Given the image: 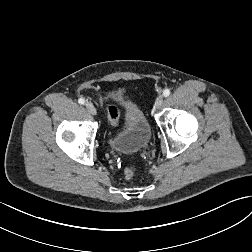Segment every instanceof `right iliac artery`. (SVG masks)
<instances>
[{"mask_svg": "<svg viewBox=\"0 0 252 252\" xmlns=\"http://www.w3.org/2000/svg\"><path fill=\"white\" fill-rule=\"evenodd\" d=\"M78 103L81 104V105H83L85 103V100L83 98H79L78 99Z\"/></svg>", "mask_w": 252, "mask_h": 252, "instance_id": "obj_1", "label": "right iliac artery"}]
</instances>
